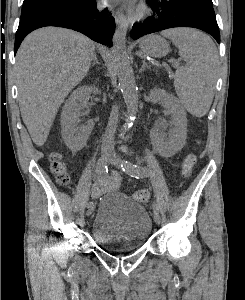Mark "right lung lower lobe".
<instances>
[{
    "label": "right lung lower lobe",
    "instance_id": "1",
    "mask_svg": "<svg viewBox=\"0 0 245 300\" xmlns=\"http://www.w3.org/2000/svg\"><path fill=\"white\" fill-rule=\"evenodd\" d=\"M57 26L81 32L106 46H112L115 20L108 9H97L96 0L80 8H66L19 23L15 37L14 53L16 54L22 40L31 31L45 27Z\"/></svg>",
    "mask_w": 245,
    "mask_h": 300
}]
</instances>
